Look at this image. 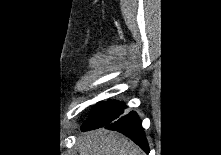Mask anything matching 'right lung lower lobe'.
I'll return each instance as SVG.
<instances>
[{
	"label": "right lung lower lobe",
	"mask_w": 221,
	"mask_h": 155,
	"mask_svg": "<svg viewBox=\"0 0 221 155\" xmlns=\"http://www.w3.org/2000/svg\"><path fill=\"white\" fill-rule=\"evenodd\" d=\"M122 102L108 101L100 103L96 111L83 123L81 130L87 131L105 127L123 133L138 144L146 153L149 147L141 121L135 112L124 115Z\"/></svg>",
	"instance_id": "obj_1"
}]
</instances>
